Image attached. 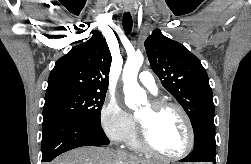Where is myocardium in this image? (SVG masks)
I'll return each mask as SVG.
<instances>
[{
    "label": "myocardium",
    "instance_id": "myocardium-1",
    "mask_svg": "<svg viewBox=\"0 0 251 164\" xmlns=\"http://www.w3.org/2000/svg\"><path fill=\"white\" fill-rule=\"evenodd\" d=\"M150 105L155 111H161L164 109H174L180 114L187 128L188 144H187L186 149L178 155L164 154L152 144L147 128L139 120H137L138 138H139L141 147L144 149L145 152L163 160L177 161V160H181L187 157L193 151L194 146H195V131H194L192 121L189 115L187 114V112L184 110V108L181 105L175 102L167 101V100H155Z\"/></svg>",
    "mask_w": 251,
    "mask_h": 164
}]
</instances>
